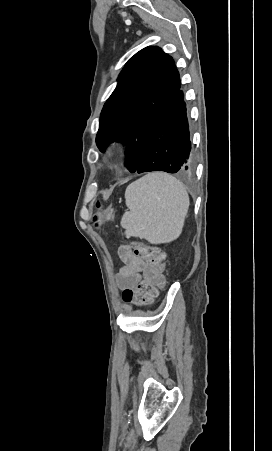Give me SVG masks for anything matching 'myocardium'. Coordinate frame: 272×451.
Here are the masks:
<instances>
[{
	"label": "myocardium",
	"mask_w": 272,
	"mask_h": 451,
	"mask_svg": "<svg viewBox=\"0 0 272 451\" xmlns=\"http://www.w3.org/2000/svg\"><path fill=\"white\" fill-rule=\"evenodd\" d=\"M109 157H110V158H112V157H113V155H112V154L110 153V154H109Z\"/></svg>",
	"instance_id": "myocardium-1"
}]
</instances>
